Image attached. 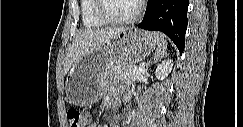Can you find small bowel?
<instances>
[{
  "label": "small bowel",
  "mask_w": 243,
  "mask_h": 127,
  "mask_svg": "<svg viewBox=\"0 0 243 127\" xmlns=\"http://www.w3.org/2000/svg\"><path fill=\"white\" fill-rule=\"evenodd\" d=\"M106 103L109 105H116L117 104V93L116 90L113 89L109 92L107 99H106ZM84 126H88V127H96L97 124L92 122V119L89 115L85 116V125ZM111 126L116 127V124H111Z\"/></svg>",
  "instance_id": "small-bowel-1"
}]
</instances>
